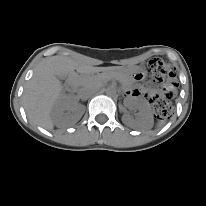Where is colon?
<instances>
[{
	"label": "colon",
	"mask_w": 206,
	"mask_h": 206,
	"mask_svg": "<svg viewBox=\"0 0 206 206\" xmlns=\"http://www.w3.org/2000/svg\"><path fill=\"white\" fill-rule=\"evenodd\" d=\"M150 78L160 84H164L163 94L155 97L153 107L158 119L167 118L172 110L171 98L176 88L175 68L163 60L155 59L148 63Z\"/></svg>",
	"instance_id": "obj_1"
}]
</instances>
